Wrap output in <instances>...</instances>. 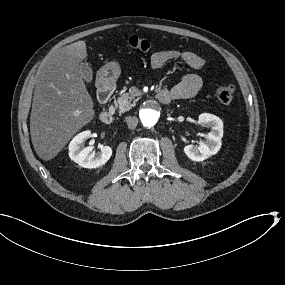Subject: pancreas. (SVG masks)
<instances>
[{"instance_id":"cf45deb5","label":"pancreas","mask_w":285,"mask_h":285,"mask_svg":"<svg viewBox=\"0 0 285 285\" xmlns=\"http://www.w3.org/2000/svg\"><path fill=\"white\" fill-rule=\"evenodd\" d=\"M133 100L134 99L129 97L127 93H123L119 96L116 105H118L121 114L131 109L130 104Z\"/></svg>"}]
</instances>
